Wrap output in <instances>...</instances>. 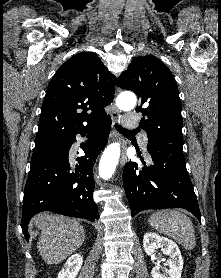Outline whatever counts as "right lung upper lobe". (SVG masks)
Segmentation results:
<instances>
[{
	"mask_svg": "<svg viewBox=\"0 0 221 278\" xmlns=\"http://www.w3.org/2000/svg\"><path fill=\"white\" fill-rule=\"evenodd\" d=\"M116 77L93 52L66 61L52 77L42 105L35 148L59 140L109 117Z\"/></svg>",
	"mask_w": 221,
	"mask_h": 278,
	"instance_id": "1",
	"label": "right lung upper lobe"
}]
</instances>
